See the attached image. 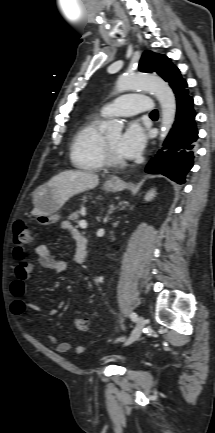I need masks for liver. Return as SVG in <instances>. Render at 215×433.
Wrapping results in <instances>:
<instances>
[{"label":"liver","mask_w":215,"mask_h":433,"mask_svg":"<svg viewBox=\"0 0 215 433\" xmlns=\"http://www.w3.org/2000/svg\"><path fill=\"white\" fill-rule=\"evenodd\" d=\"M99 183V177L96 174L65 170L52 177L46 186L54 189L57 202L62 206L72 196L95 188ZM33 215H38L34 209Z\"/></svg>","instance_id":"obj_1"}]
</instances>
